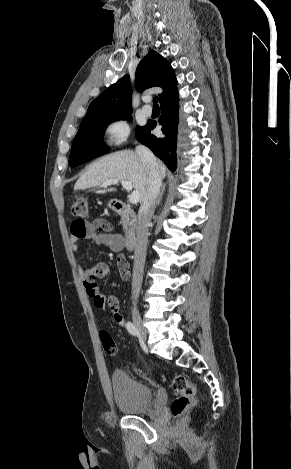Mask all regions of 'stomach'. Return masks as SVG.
<instances>
[{
	"label": "stomach",
	"mask_w": 291,
	"mask_h": 469,
	"mask_svg": "<svg viewBox=\"0 0 291 469\" xmlns=\"http://www.w3.org/2000/svg\"><path fill=\"white\" fill-rule=\"evenodd\" d=\"M108 205H109V207H111V202Z\"/></svg>",
	"instance_id": "obj_1"
}]
</instances>
